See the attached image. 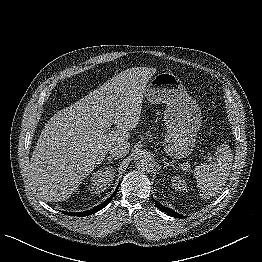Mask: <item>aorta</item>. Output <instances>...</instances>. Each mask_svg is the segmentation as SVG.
I'll use <instances>...</instances> for the list:
<instances>
[{
  "label": "aorta",
  "instance_id": "762f6f07",
  "mask_svg": "<svg viewBox=\"0 0 262 262\" xmlns=\"http://www.w3.org/2000/svg\"><path fill=\"white\" fill-rule=\"evenodd\" d=\"M135 167L139 171L148 172L153 169V164L150 157L146 153H140L136 158Z\"/></svg>",
  "mask_w": 262,
  "mask_h": 262
}]
</instances>
